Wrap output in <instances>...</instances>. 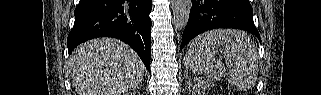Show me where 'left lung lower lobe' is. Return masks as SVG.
I'll use <instances>...</instances> for the list:
<instances>
[{"label":"left lung lower lobe","instance_id":"left-lung-lower-lobe-1","mask_svg":"<svg viewBox=\"0 0 321 95\" xmlns=\"http://www.w3.org/2000/svg\"><path fill=\"white\" fill-rule=\"evenodd\" d=\"M216 28L241 29L260 39L249 0H193L181 48L198 34Z\"/></svg>","mask_w":321,"mask_h":95}]
</instances>
